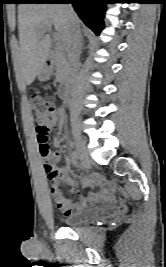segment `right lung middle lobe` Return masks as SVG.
Listing matches in <instances>:
<instances>
[{
	"mask_svg": "<svg viewBox=\"0 0 166 267\" xmlns=\"http://www.w3.org/2000/svg\"><path fill=\"white\" fill-rule=\"evenodd\" d=\"M27 1H31V0H18L17 3H20V2H27Z\"/></svg>",
	"mask_w": 166,
	"mask_h": 267,
	"instance_id": "obj_1",
	"label": "right lung middle lobe"
}]
</instances>
